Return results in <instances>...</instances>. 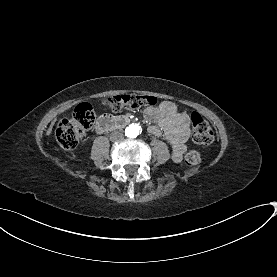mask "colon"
<instances>
[{"instance_id": "1", "label": "colon", "mask_w": 277, "mask_h": 277, "mask_svg": "<svg viewBox=\"0 0 277 277\" xmlns=\"http://www.w3.org/2000/svg\"><path fill=\"white\" fill-rule=\"evenodd\" d=\"M104 105L108 109L130 107L138 109L140 107L152 106L156 100L149 95H115L104 100ZM79 107L71 116L63 119L58 125L55 135L56 139L65 150L75 149L84 133L89 130L94 122L95 113L89 108V99H80ZM191 136L195 142L208 144L214 140V132L209 123L200 115H194L190 122ZM201 161V154L192 151L186 154L185 163L189 166H196Z\"/></svg>"}]
</instances>
